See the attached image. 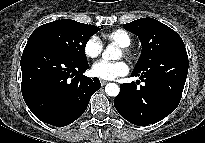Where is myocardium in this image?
<instances>
[{"label": "myocardium", "mask_w": 205, "mask_h": 143, "mask_svg": "<svg viewBox=\"0 0 205 143\" xmlns=\"http://www.w3.org/2000/svg\"><path fill=\"white\" fill-rule=\"evenodd\" d=\"M121 52H122V55L126 57L127 59L129 60L134 59V54L130 47H121Z\"/></svg>", "instance_id": "1"}]
</instances>
